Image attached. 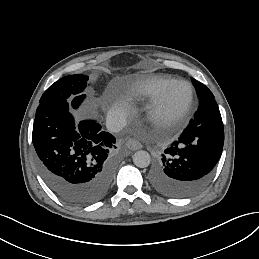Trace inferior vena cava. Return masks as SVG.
I'll use <instances>...</instances> for the list:
<instances>
[{
  "label": "inferior vena cava",
  "instance_id": "obj_1",
  "mask_svg": "<svg viewBox=\"0 0 259 259\" xmlns=\"http://www.w3.org/2000/svg\"><path fill=\"white\" fill-rule=\"evenodd\" d=\"M126 124V118L121 114L112 112L107 116L106 126L110 132H119Z\"/></svg>",
  "mask_w": 259,
  "mask_h": 259
}]
</instances>
